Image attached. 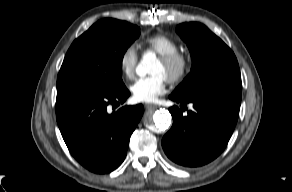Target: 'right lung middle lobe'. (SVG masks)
<instances>
[{"instance_id": "dd1d6c3e", "label": "right lung middle lobe", "mask_w": 292, "mask_h": 192, "mask_svg": "<svg viewBox=\"0 0 292 192\" xmlns=\"http://www.w3.org/2000/svg\"><path fill=\"white\" fill-rule=\"evenodd\" d=\"M139 34V27L125 21L107 18L96 22L70 46L57 84L80 82L105 91L123 89V55Z\"/></svg>"}]
</instances>
